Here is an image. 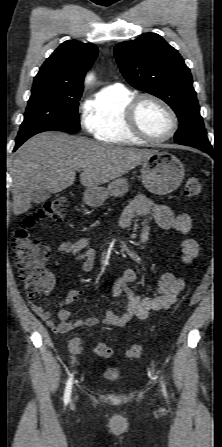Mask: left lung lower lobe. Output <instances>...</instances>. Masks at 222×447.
Listing matches in <instances>:
<instances>
[{
    "mask_svg": "<svg viewBox=\"0 0 222 447\" xmlns=\"http://www.w3.org/2000/svg\"><path fill=\"white\" fill-rule=\"evenodd\" d=\"M197 148H199L200 150L206 152L207 154L213 156V149L212 146L207 147V146H197Z\"/></svg>",
    "mask_w": 222,
    "mask_h": 447,
    "instance_id": "left-lung-lower-lobe-1",
    "label": "left lung lower lobe"
}]
</instances>
